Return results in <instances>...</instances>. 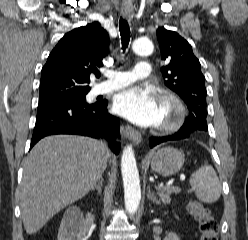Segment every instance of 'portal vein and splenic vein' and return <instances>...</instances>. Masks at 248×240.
Listing matches in <instances>:
<instances>
[{
	"label": "portal vein and splenic vein",
	"instance_id": "portal-vein-and-splenic-vein-1",
	"mask_svg": "<svg viewBox=\"0 0 248 240\" xmlns=\"http://www.w3.org/2000/svg\"><path fill=\"white\" fill-rule=\"evenodd\" d=\"M161 186H156V189L160 188ZM167 188H170L171 190L175 192H180V188L176 186H168Z\"/></svg>",
	"mask_w": 248,
	"mask_h": 240
}]
</instances>
